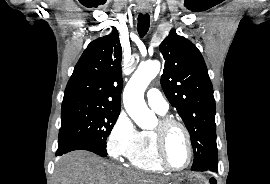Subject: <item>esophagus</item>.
Listing matches in <instances>:
<instances>
[{
	"label": "esophagus",
	"instance_id": "obj_1",
	"mask_svg": "<svg viewBox=\"0 0 270 184\" xmlns=\"http://www.w3.org/2000/svg\"><path fill=\"white\" fill-rule=\"evenodd\" d=\"M141 12L145 14V13L148 12V9L147 8H141Z\"/></svg>",
	"mask_w": 270,
	"mask_h": 184
}]
</instances>
